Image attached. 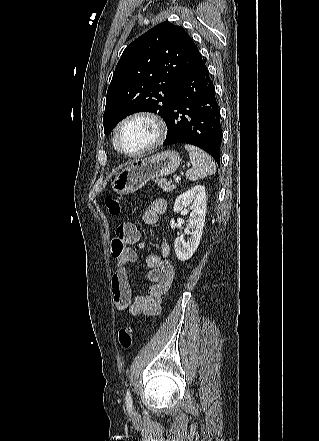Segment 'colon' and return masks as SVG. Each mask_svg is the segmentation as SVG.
Returning a JSON list of instances; mask_svg holds the SVG:
<instances>
[{
	"mask_svg": "<svg viewBox=\"0 0 319 441\" xmlns=\"http://www.w3.org/2000/svg\"><path fill=\"white\" fill-rule=\"evenodd\" d=\"M105 206L112 218H118L122 213L120 196H110L105 199ZM134 330L132 327H123L118 332V341L122 348L128 349L132 346Z\"/></svg>",
	"mask_w": 319,
	"mask_h": 441,
	"instance_id": "colon-1",
	"label": "colon"
}]
</instances>
